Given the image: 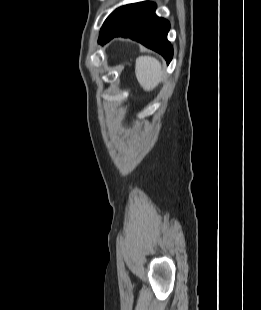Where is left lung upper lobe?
Listing matches in <instances>:
<instances>
[{
  "mask_svg": "<svg viewBox=\"0 0 261 310\" xmlns=\"http://www.w3.org/2000/svg\"><path fill=\"white\" fill-rule=\"evenodd\" d=\"M116 11H117V10H115L113 13H111V14L109 15V17L106 19V21L104 22L103 25L107 24V23L113 18V16H114V14L116 13Z\"/></svg>",
  "mask_w": 261,
  "mask_h": 310,
  "instance_id": "1",
  "label": "left lung upper lobe"
}]
</instances>
